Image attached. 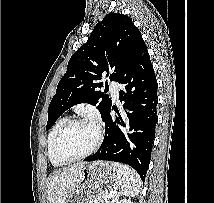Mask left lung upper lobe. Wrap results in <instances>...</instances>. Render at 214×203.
<instances>
[{"instance_id":"5c2ea615","label":"left lung upper lobe","mask_w":214,"mask_h":203,"mask_svg":"<svg viewBox=\"0 0 214 203\" xmlns=\"http://www.w3.org/2000/svg\"><path fill=\"white\" fill-rule=\"evenodd\" d=\"M146 49L139 29L127 15L107 14L70 58L48 108L49 129L70 107L79 103L97 105L102 118L111 107L108 95L98 91L102 75L119 82L137 56Z\"/></svg>"}]
</instances>
